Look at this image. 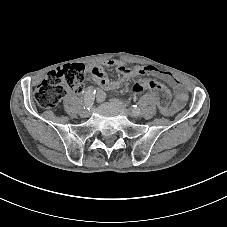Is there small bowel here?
<instances>
[{
    "label": "small bowel",
    "mask_w": 227,
    "mask_h": 227,
    "mask_svg": "<svg viewBox=\"0 0 227 227\" xmlns=\"http://www.w3.org/2000/svg\"><path fill=\"white\" fill-rule=\"evenodd\" d=\"M103 67H114L120 74L119 80L109 81L105 75ZM87 72L88 77L101 87V89L95 90L96 98L99 101L105 99V91L112 95L120 85L129 79L143 74L155 75L172 87L175 94V100L171 106L161 108V111L165 115L174 114L187 100L186 91L178 79H176L170 72L163 71L152 66L143 67L140 65H133L131 67H127L123 61L110 59L99 65L88 66Z\"/></svg>",
    "instance_id": "c3829d8e"
}]
</instances>
